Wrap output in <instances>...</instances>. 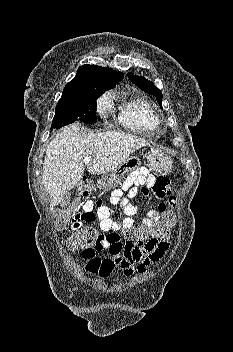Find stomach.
<instances>
[{
  "mask_svg": "<svg viewBox=\"0 0 233 352\" xmlns=\"http://www.w3.org/2000/svg\"><path fill=\"white\" fill-rule=\"evenodd\" d=\"M147 166L156 173H166L172 168L171 158L160 149L152 148L147 156ZM140 161L137 157H129L113 171L105 173L98 180V187L103 190H110L121 184L122 179L129 172L140 167Z\"/></svg>",
  "mask_w": 233,
  "mask_h": 352,
  "instance_id": "obj_1",
  "label": "stomach"
}]
</instances>
